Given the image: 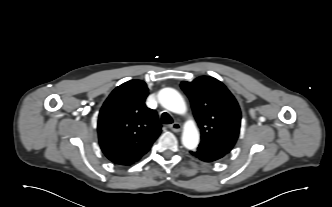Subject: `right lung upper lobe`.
Returning <instances> with one entry per match:
<instances>
[{"mask_svg":"<svg viewBox=\"0 0 332 207\" xmlns=\"http://www.w3.org/2000/svg\"><path fill=\"white\" fill-rule=\"evenodd\" d=\"M147 96L144 81L130 80L118 86L100 110V147L115 164L129 166L139 161L161 132L156 111L145 105Z\"/></svg>","mask_w":332,"mask_h":207,"instance_id":"right-lung-upper-lobe-1","label":"right lung upper lobe"}]
</instances>
